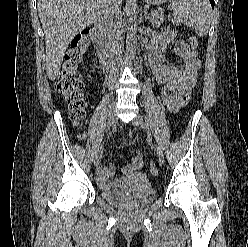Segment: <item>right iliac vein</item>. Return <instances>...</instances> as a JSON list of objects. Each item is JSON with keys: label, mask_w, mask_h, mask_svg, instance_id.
Segmentation results:
<instances>
[{"label": "right iliac vein", "mask_w": 248, "mask_h": 247, "mask_svg": "<svg viewBox=\"0 0 248 247\" xmlns=\"http://www.w3.org/2000/svg\"><path fill=\"white\" fill-rule=\"evenodd\" d=\"M115 103H116V99H112L111 103H110V107H109V115H108V126L111 127L114 123V109H115ZM102 153H103V146L101 145L94 157V165L98 166L101 158H102Z\"/></svg>", "instance_id": "obj_1"}]
</instances>
